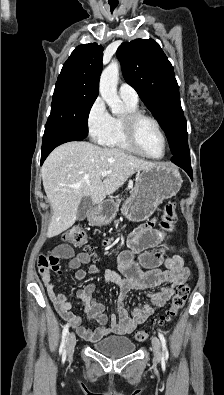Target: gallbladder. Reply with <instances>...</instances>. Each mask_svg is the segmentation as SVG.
I'll return each instance as SVG.
<instances>
[{
	"instance_id": "1",
	"label": "gallbladder",
	"mask_w": 224,
	"mask_h": 395,
	"mask_svg": "<svg viewBox=\"0 0 224 395\" xmlns=\"http://www.w3.org/2000/svg\"><path fill=\"white\" fill-rule=\"evenodd\" d=\"M92 207V200L89 196H85L81 199L78 209H77V220L78 221H83L89 209Z\"/></svg>"
}]
</instances>
